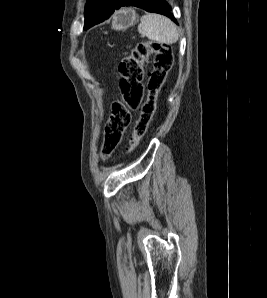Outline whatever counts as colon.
I'll return each mask as SVG.
<instances>
[{
  "mask_svg": "<svg viewBox=\"0 0 267 298\" xmlns=\"http://www.w3.org/2000/svg\"><path fill=\"white\" fill-rule=\"evenodd\" d=\"M152 59L147 97L141 106L140 117L130 139L128 153L134 151L146 135L157 108L159 93L173 64L171 47L166 43L142 41L137 43L119 64L123 103L113 108L101 143L103 159L111 157L130 123L131 111L138 108L143 97L145 64Z\"/></svg>",
  "mask_w": 267,
  "mask_h": 298,
  "instance_id": "5ec220e1",
  "label": "colon"
}]
</instances>
